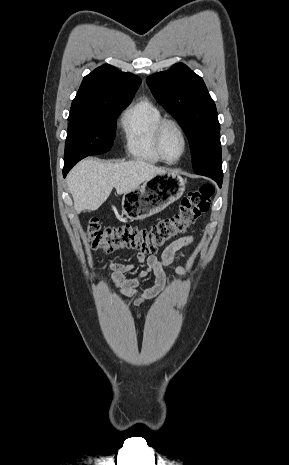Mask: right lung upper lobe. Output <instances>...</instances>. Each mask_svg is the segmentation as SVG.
Listing matches in <instances>:
<instances>
[{
	"label": "right lung upper lobe",
	"instance_id": "right-lung-upper-lobe-1",
	"mask_svg": "<svg viewBox=\"0 0 289 465\" xmlns=\"http://www.w3.org/2000/svg\"><path fill=\"white\" fill-rule=\"evenodd\" d=\"M141 79L110 65H102L84 77L72 101L69 118L95 117L101 106L114 101L131 100Z\"/></svg>",
	"mask_w": 289,
	"mask_h": 465
}]
</instances>
